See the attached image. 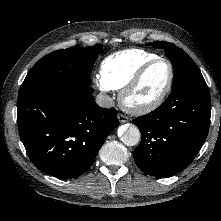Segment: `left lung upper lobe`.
Masks as SVG:
<instances>
[{
    "instance_id": "left-lung-upper-lobe-1",
    "label": "left lung upper lobe",
    "mask_w": 221,
    "mask_h": 221,
    "mask_svg": "<svg viewBox=\"0 0 221 221\" xmlns=\"http://www.w3.org/2000/svg\"><path fill=\"white\" fill-rule=\"evenodd\" d=\"M156 48H163L175 69L172 91L184 86H203L206 82L193 60L180 48L169 42L148 43Z\"/></svg>"
}]
</instances>
